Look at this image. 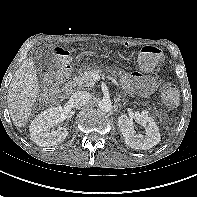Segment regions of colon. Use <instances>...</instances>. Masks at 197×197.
<instances>
[{
	"label": "colon",
	"mask_w": 197,
	"mask_h": 197,
	"mask_svg": "<svg viewBox=\"0 0 197 197\" xmlns=\"http://www.w3.org/2000/svg\"><path fill=\"white\" fill-rule=\"evenodd\" d=\"M56 68L54 71L46 74L43 78L44 86L48 89L55 82L64 79L70 69V53L64 49L56 50ZM162 62V53L160 49L155 46H144L139 54V65L143 70H151L159 66ZM161 96L167 107L173 108L179 102V93L174 85L166 83L161 90Z\"/></svg>",
	"instance_id": "5ec220e1"
}]
</instances>
